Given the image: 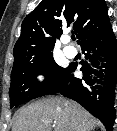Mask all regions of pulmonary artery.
Here are the masks:
<instances>
[{
    "label": "pulmonary artery",
    "instance_id": "pulmonary-artery-1",
    "mask_svg": "<svg viewBox=\"0 0 117 131\" xmlns=\"http://www.w3.org/2000/svg\"><path fill=\"white\" fill-rule=\"evenodd\" d=\"M68 41H69L68 39H65L64 43H67ZM63 52L69 58L74 57L77 53L76 49L74 47H71V46H65L64 49H63Z\"/></svg>",
    "mask_w": 117,
    "mask_h": 131
}]
</instances>
